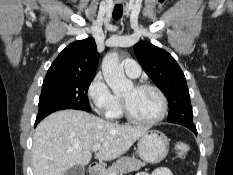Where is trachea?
Masks as SVG:
<instances>
[{"mask_svg":"<svg viewBox=\"0 0 233 175\" xmlns=\"http://www.w3.org/2000/svg\"><path fill=\"white\" fill-rule=\"evenodd\" d=\"M123 13V6L121 4L115 5L114 10H113V18L115 20H118L121 18Z\"/></svg>","mask_w":233,"mask_h":175,"instance_id":"3493384b","label":"trachea"}]
</instances>
